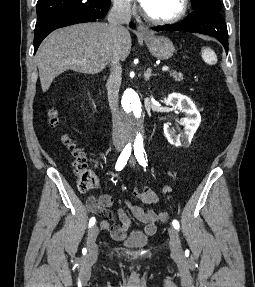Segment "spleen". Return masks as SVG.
<instances>
[{
    "instance_id": "3e777b00",
    "label": "spleen",
    "mask_w": 255,
    "mask_h": 287,
    "mask_svg": "<svg viewBox=\"0 0 255 287\" xmlns=\"http://www.w3.org/2000/svg\"><path fill=\"white\" fill-rule=\"evenodd\" d=\"M202 58L204 62H206V64H210V66H212V64H216L217 62V56L215 52L211 50V48H203Z\"/></svg>"
}]
</instances>
